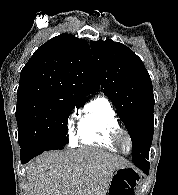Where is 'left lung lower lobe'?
Instances as JSON below:
<instances>
[{"instance_id":"left-lung-lower-lobe-1","label":"left lung lower lobe","mask_w":178,"mask_h":195,"mask_svg":"<svg viewBox=\"0 0 178 195\" xmlns=\"http://www.w3.org/2000/svg\"><path fill=\"white\" fill-rule=\"evenodd\" d=\"M149 162L146 164H142V165H136L138 168H140L141 170H143V172L145 174H149Z\"/></svg>"}]
</instances>
